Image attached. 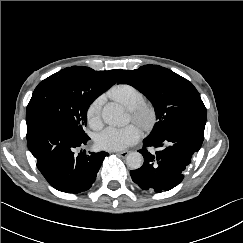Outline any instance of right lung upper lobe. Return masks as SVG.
Returning <instances> with one entry per match:
<instances>
[{"instance_id":"right-lung-upper-lobe-1","label":"right lung upper lobe","mask_w":243,"mask_h":243,"mask_svg":"<svg viewBox=\"0 0 243 243\" xmlns=\"http://www.w3.org/2000/svg\"><path fill=\"white\" fill-rule=\"evenodd\" d=\"M122 71V69L95 71L89 67L73 66L59 73L68 77L73 89L98 97L116 83Z\"/></svg>"}]
</instances>
